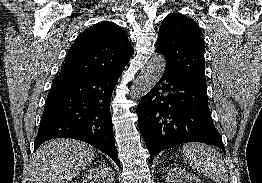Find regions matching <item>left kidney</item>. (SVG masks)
Instances as JSON below:
<instances>
[{
  "label": "left kidney",
  "instance_id": "1",
  "mask_svg": "<svg viewBox=\"0 0 262 183\" xmlns=\"http://www.w3.org/2000/svg\"><path fill=\"white\" fill-rule=\"evenodd\" d=\"M166 183H203L197 176L182 168H173L167 173Z\"/></svg>",
  "mask_w": 262,
  "mask_h": 183
}]
</instances>
